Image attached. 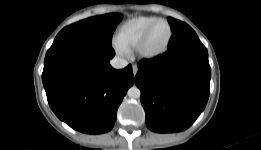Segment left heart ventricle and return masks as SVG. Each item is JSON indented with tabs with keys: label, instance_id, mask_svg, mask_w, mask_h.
Returning a JSON list of instances; mask_svg holds the SVG:
<instances>
[{
	"label": "left heart ventricle",
	"instance_id": "obj_1",
	"mask_svg": "<svg viewBox=\"0 0 261 150\" xmlns=\"http://www.w3.org/2000/svg\"><path fill=\"white\" fill-rule=\"evenodd\" d=\"M169 35L168 26L161 22L158 23L151 31L148 41L147 50L150 52H156L163 48Z\"/></svg>",
	"mask_w": 261,
	"mask_h": 150
}]
</instances>
